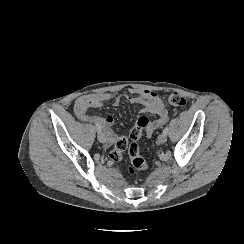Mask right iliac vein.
Wrapping results in <instances>:
<instances>
[{
  "mask_svg": "<svg viewBox=\"0 0 244 244\" xmlns=\"http://www.w3.org/2000/svg\"><path fill=\"white\" fill-rule=\"evenodd\" d=\"M98 140L101 142V143H105L107 141V137L105 135V133L103 132H99L98 133Z\"/></svg>",
  "mask_w": 244,
  "mask_h": 244,
  "instance_id": "right-iliac-vein-1",
  "label": "right iliac vein"
}]
</instances>
